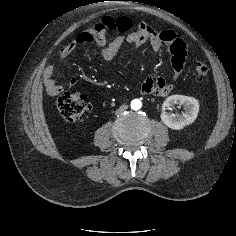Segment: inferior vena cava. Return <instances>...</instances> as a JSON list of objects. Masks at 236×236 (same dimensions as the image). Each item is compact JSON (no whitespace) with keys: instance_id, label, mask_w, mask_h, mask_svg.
I'll use <instances>...</instances> for the list:
<instances>
[{"instance_id":"obj_1","label":"inferior vena cava","mask_w":236,"mask_h":236,"mask_svg":"<svg viewBox=\"0 0 236 236\" xmlns=\"http://www.w3.org/2000/svg\"><path fill=\"white\" fill-rule=\"evenodd\" d=\"M128 109V106L127 105H121L117 110H116V113L117 114H120L124 111H126Z\"/></svg>"}]
</instances>
